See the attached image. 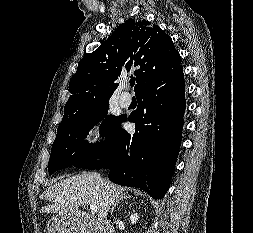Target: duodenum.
Instances as JSON below:
<instances>
[{
    "instance_id": "duodenum-1",
    "label": "duodenum",
    "mask_w": 253,
    "mask_h": 233,
    "mask_svg": "<svg viewBox=\"0 0 253 233\" xmlns=\"http://www.w3.org/2000/svg\"><path fill=\"white\" fill-rule=\"evenodd\" d=\"M86 233H103V227L102 225L96 226L94 224H88Z\"/></svg>"
}]
</instances>
